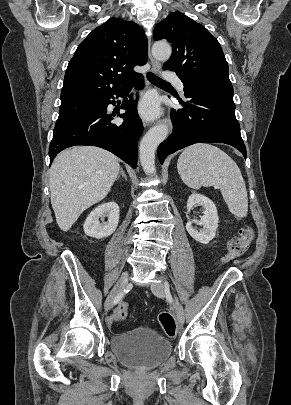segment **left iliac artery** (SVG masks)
Instances as JSON below:
<instances>
[{
    "instance_id": "44dca946",
    "label": "left iliac artery",
    "mask_w": 291,
    "mask_h": 405,
    "mask_svg": "<svg viewBox=\"0 0 291 405\" xmlns=\"http://www.w3.org/2000/svg\"><path fill=\"white\" fill-rule=\"evenodd\" d=\"M165 286H166V287H168V286H169V284L166 282V283H165Z\"/></svg>"
}]
</instances>
